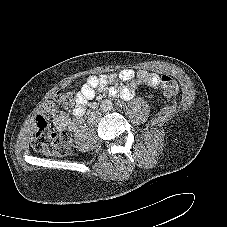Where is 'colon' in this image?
I'll list each match as a JSON object with an SVG mask.
<instances>
[{
  "instance_id": "obj_1",
  "label": "colon",
  "mask_w": 227,
  "mask_h": 227,
  "mask_svg": "<svg viewBox=\"0 0 227 227\" xmlns=\"http://www.w3.org/2000/svg\"><path fill=\"white\" fill-rule=\"evenodd\" d=\"M160 88L166 96H173L178 92L176 80L167 75L161 76ZM72 102V93L57 92L51 100L44 103L42 112L35 119L31 141L34 150L49 156H66L73 152L69 135L55 132L48 123L60 108H67Z\"/></svg>"
}]
</instances>
